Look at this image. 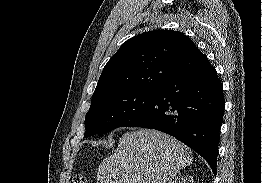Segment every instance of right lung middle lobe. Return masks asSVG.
<instances>
[{
    "label": "right lung middle lobe",
    "mask_w": 262,
    "mask_h": 183,
    "mask_svg": "<svg viewBox=\"0 0 262 183\" xmlns=\"http://www.w3.org/2000/svg\"><path fill=\"white\" fill-rule=\"evenodd\" d=\"M158 89L118 90L92 98L86 114L85 138L125 126L151 103Z\"/></svg>",
    "instance_id": "right-lung-middle-lobe-1"
}]
</instances>
